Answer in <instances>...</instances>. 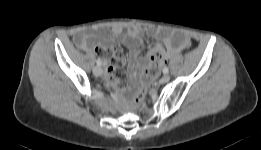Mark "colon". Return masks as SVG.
<instances>
[{
	"label": "colon",
	"instance_id": "colon-1",
	"mask_svg": "<svg viewBox=\"0 0 261 150\" xmlns=\"http://www.w3.org/2000/svg\"><path fill=\"white\" fill-rule=\"evenodd\" d=\"M160 64V53L154 51L151 55V66L149 69L144 71L140 77L139 84L134 89V99L140 103L144 99L145 89L148 81L156 74Z\"/></svg>",
	"mask_w": 261,
	"mask_h": 150
}]
</instances>
